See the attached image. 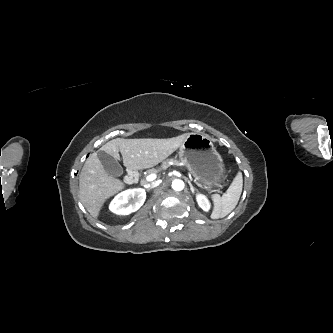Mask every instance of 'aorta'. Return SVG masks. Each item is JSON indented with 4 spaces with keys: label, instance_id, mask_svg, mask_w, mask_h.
<instances>
[{
    "label": "aorta",
    "instance_id": "1",
    "mask_svg": "<svg viewBox=\"0 0 333 333\" xmlns=\"http://www.w3.org/2000/svg\"><path fill=\"white\" fill-rule=\"evenodd\" d=\"M184 182L182 180L176 179L172 182V188L176 191H181L184 189Z\"/></svg>",
    "mask_w": 333,
    "mask_h": 333
}]
</instances>
